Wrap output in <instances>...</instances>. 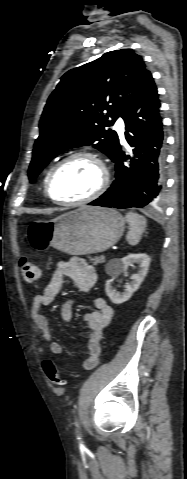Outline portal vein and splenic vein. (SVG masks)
<instances>
[{
  "mask_svg": "<svg viewBox=\"0 0 187 479\" xmlns=\"http://www.w3.org/2000/svg\"><path fill=\"white\" fill-rule=\"evenodd\" d=\"M101 258H102V259H104V258H105V256H104V255H102V256H101Z\"/></svg>",
  "mask_w": 187,
  "mask_h": 479,
  "instance_id": "portal-vein-and-splenic-vein-1",
  "label": "portal vein and splenic vein"
}]
</instances>
